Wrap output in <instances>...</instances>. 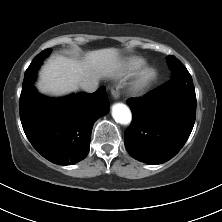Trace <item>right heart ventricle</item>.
<instances>
[{"mask_svg": "<svg viewBox=\"0 0 222 222\" xmlns=\"http://www.w3.org/2000/svg\"><path fill=\"white\" fill-rule=\"evenodd\" d=\"M145 61L141 57H129L124 60L117 69L118 75H126L133 73L143 67Z\"/></svg>", "mask_w": 222, "mask_h": 222, "instance_id": "right-heart-ventricle-1", "label": "right heart ventricle"}]
</instances>
